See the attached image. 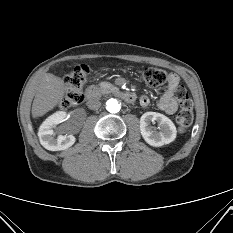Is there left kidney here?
Segmentation results:
<instances>
[{
  "label": "left kidney",
  "instance_id": "obj_1",
  "mask_svg": "<svg viewBox=\"0 0 233 233\" xmlns=\"http://www.w3.org/2000/svg\"><path fill=\"white\" fill-rule=\"evenodd\" d=\"M157 122L159 131L150 126ZM140 131L144 140L151 146L161 147L175 140L177 130L174 123L165 115L157 112H146L140 118Z\"/></svg>",
  "mask_w": 233,
  "mask_h": 233
}]
</instances>
